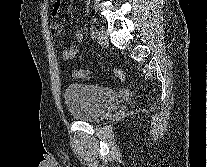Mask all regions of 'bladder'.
Returning <instances> with one entry per match:
<instances>
[{"label": "bladder", "instance_id": "bladder-1", "mask_svg": "<svg viewBox=\"0 0 207 167\" xmlns=\"http://www.w3.org/2000/svg\"><path fill=\"white\" fill-rule=\"evenodd\" d=\"M116 98L107 87L73 83L64 92V100L70 116L77 121L99 119Z\"/></svg>", "mask_w": 207, "mask_h": 167}]
</instances>
